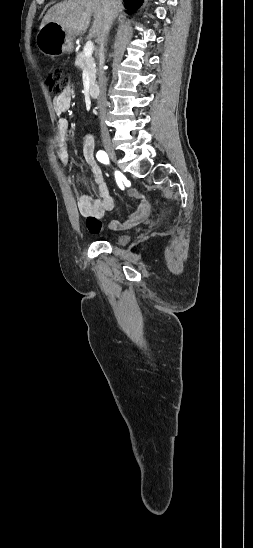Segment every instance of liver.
Here are the masks:
<instances>
[{
	"instance_id": "obj_1",
	"label": "liver",
	"mask_w": 253,
	"mask_h": 548,
	"mask_svg": "<svg viewBox=\"0 0 253 548\" xmlns=\"http://www.w3.org/2000/svg\"><path fill=\"white\" fill-rule=\"evenodd\" d=\"M117 1L118 14L123 5L121 0ZM92 15L94 21L89 37L98 38L104 20L103 0H65L57 3L47 11L40 28L53 22L64 29L68 36L75 37L88 29Z\"/></svg>"
}]
</instances>
